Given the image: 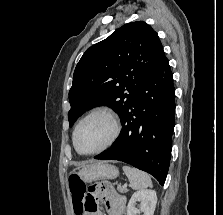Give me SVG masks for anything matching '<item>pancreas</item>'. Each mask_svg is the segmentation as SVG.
<instances>
[{
  "mask_svg": "<svg viewBox=\"0 0 223 215\" xmlns=\"http://www.w3.org/2000/svg\"><path fill=\"white\" fill-rule=\"evenodd\" d=\"M117 189L118 191H122V193H124V191H128L127 187H121V185H117Z\"/></svg>",
  "mask_w": 223,
  "mask_h": 215,
  "instance_id": "pancreas-1",
  "label": "pancreas"
}]
</instances>
